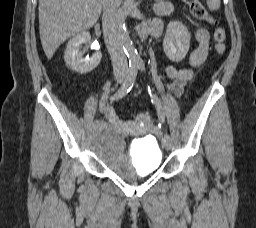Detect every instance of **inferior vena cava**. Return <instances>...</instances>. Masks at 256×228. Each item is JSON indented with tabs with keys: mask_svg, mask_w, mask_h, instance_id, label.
Listing matches in <instances>:
<instances>
[{
	"mask_svg": "<svg viewBox=\"0 0 256 228\" xmlns=\"http://www.w3.org/2000/svg\"><path fill=\"white\" fill-rule=\"evenodd\" d=\"M120 3L121 0H103L102 27L105 44L113 63L114 74L125 76L128 73V63L119 37L117 20Z\"/></svg>",
	"mask_w": 256,
	"mask_h": 228,
	"instance_id": "602c4592",
	"label": "inferior vena cava"
}]
</instances>
